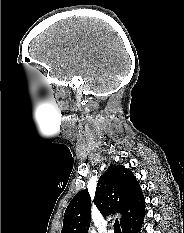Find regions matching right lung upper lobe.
Segmentation results:
<instances>
[{
  "label": "right lung upper lobe",
  "mask_w": 184,
  "mask_h": 233,
  "mask_svg": "<svg viewBox=\"0 0 184 233\" xmlns=\"http://www.w3.org/2000/svg\"><path fill=\"white\" fill-rule=\"evenodd\" d=\"M94 204L104 216L121 213L122 226L144 209L145 200L133 173L122 165L111 164L98 180ZM90 222L91 198L85 189L67 206L61 233H87Z\"/></svg>",
  "instance_id": "obj_1"
}]
</instances>
